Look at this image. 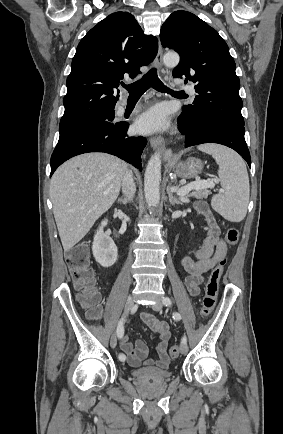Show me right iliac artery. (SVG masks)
I'll use <instances>...</instances> for the list:
<instances>
[{
  "instance_id": "obj_1",
  "label": "right iliac artery",
  "mask_w": 283,
  "mask_h": 434,
  "mask_svg": "<svg viewBox=\"0 0 283 434\" xmlns=\"http://www.w3.org/2000/svg\"><path fill=\"white\" fill-rule=\"evenodd\" d=\"M116 333L118 338H121L124 335V318H121L119 321ZM125 359L126 357L123 354H119L120 361H125Z\"/></svg>"
}]
</instances>
